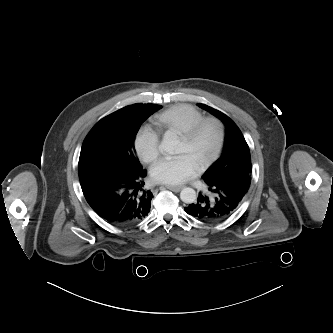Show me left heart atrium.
<instances>
[{
    "label": "left heart atrium",
    "mask_w": 333,
    "mask_h": 333,
    "mask_svg": "<svg viewBox=\"0 0 333 333\" xmlns=\"http://www.w3.org/2000/svg\"><path fill=\"white\" fill-rule=\"evenodd\" d=\"M197 165L186 154L164 158L157 162L152 170V179L160 184L178 185L194 177Z\"/></svg>",
    "instance_id": "obj_1"
}]
</instances>
